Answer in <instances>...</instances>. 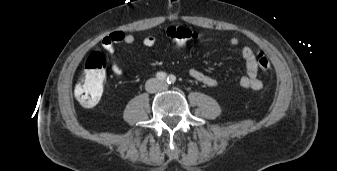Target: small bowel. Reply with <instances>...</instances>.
I'll return each instance as SVG.
<instances>
[{"mask_svg":"<svg viewBox=\"0 0 337 171\" xmlns=\"http://www.w3.org/2000/svg\"><path fill=\"white\" fill-rule=\"evenodd\" d=\"M134 42L135 36L133 34L123 31H113L102 38L101 45L108 53L115 54L117 44L124 43L130 45ZM142 44L147 48H152L157 44V39L156 37L149 35L143 38ZM228 44L231 47H236L239 45V40L236 37H231L228 40ZM241 56L245 61L246 73L240 78V86L245 89L255 91L260 90L263 87V83L258 77V64L254 50L249 46H244L241 50ZM110 70L115 76L123 75L122 68L116 62L111 63ZM188 74L192 79L204 84L207 87L214 88L218 85V82L214 77L206 74L198 68H190Z\"/></svg>","mask_w":337,"mask_h":171,"instance_id":"c3829d8e","label":"small bowel"}]
</instances>
